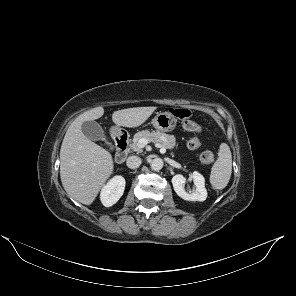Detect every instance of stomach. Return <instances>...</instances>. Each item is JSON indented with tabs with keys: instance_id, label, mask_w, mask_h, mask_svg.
Returning <instances> with one entry per match:
<instances>
[{
	"instance_id": "obj_1",
	"label": "stomach",
	"mask_w": 296,
	"mask_h": 296,
	"mask_svg": "<svg viewBox=\"0 0 296 296\" xmlns=\"http://www.w3.org/2000/svg\"><path fill=\"white\" fill-rule=\"evenodd\" d=\"M151 123L157 131L170 132L175 129L177 119L173 114L169 112H162V113H158L152 119Z\"/></svg>"
}]
</instances>
